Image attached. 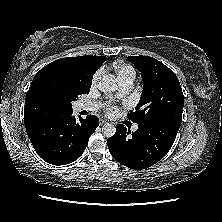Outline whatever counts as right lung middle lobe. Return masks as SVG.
Wrapping results in <instances>:
<instances>
[{
  "label": "right lung middle lobe",
  "instance_id": "obj_1",
  "mask_svg": "<svg viewBox=\"0 0 222 222\" xmlns=\"http://www.w3.org/2000/svg\"><path fill=\"white\" fill-rule=\"evenodd\" d=\"M90 87L91 86L89 85L84 87H79L74 84L63 83L57 88L56 94L66 98L69 102H72L77 100L78 95H81L83 93L85 94L89 93Z\"/></svg>",
  "mask_w": 222,
  "mask_h": 222
}]
</instances>
